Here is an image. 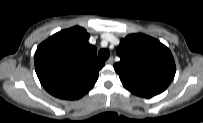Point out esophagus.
Listing matches in <instances>:
<instances>
[{
	"mask_svg": "<svg viewBox=\"0 0 203 123\" xmlns=\"http://www.w3.org/2000/svg\"><path fill=\"white\" fill-rule=\"evenodd\" d=\"M113 63H114L113 57H110V58L106 61V64H107V65H112Z\"/></svg>",
	"mask_w": 203,
	"mask_h": 123,
	"instance_id": "1",
	"label": "esophagus"
}]
</instances>
